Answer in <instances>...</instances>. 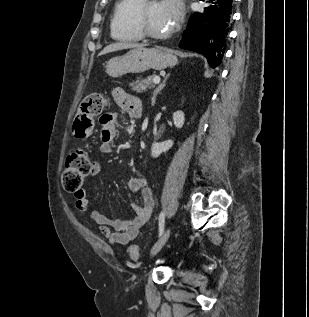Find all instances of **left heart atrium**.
<instances>
[{
  "label": "left heart atrium",
  "instance_id": "39dd6f15",
  "mask_svg": "<svg viewBox=\"0 0 309 317\" xmlns=\"http://www.w3.org/2000/svg\"><path fill=\"white\" fill-rule=\"evenodd\" d=\"M163 6L170 17L173 26L176 25L180 21L183 14L180 0H165L163 2Z\"/></svg>",
  "mask_w": 309,
  "mask_h": 317
}]
</instances>
